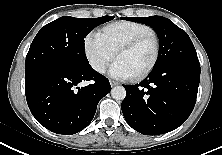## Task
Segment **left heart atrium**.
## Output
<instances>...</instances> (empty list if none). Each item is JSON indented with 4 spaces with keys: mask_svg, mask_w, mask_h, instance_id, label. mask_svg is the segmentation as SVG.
Returning a JSON list of instances; mask_svg holds the SVG:
<instances>
[{
    "mask_svg": "<svg viewBox=\"0 0 222 155\" xmlns=\"http://www.w3.org/2000/svg\"><path fill=\"white\" fill-rule=\"evenodd\" d=\"M108 74L116 79L125 80L133 77L129 68L119 59L113 62L108 70Z\"/></svg>",
    "mask_w": 222,
    "mask_h": 155,
    "instance_id": "left-heart-atrium-1",
    "label": "left heart atrium"
}]
</instances>
